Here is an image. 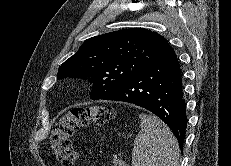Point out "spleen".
<instances>
[{
	"instance_id": "1",
	"label": "spleen",
	"mask_w": 231,
	"mask_h": 166,
	"mask_svg": "<svg viewBox=\"0 0 231 166\" xmlns=\"http://www.w3.org/2000/svg\"><path fill=\"white\" fill-rule=\"evenodd\" d=\"M141 130L134 140L132 166H179L180 149L169 127L155 116L141 113Z\"/></svg>"
}]
</instances>
